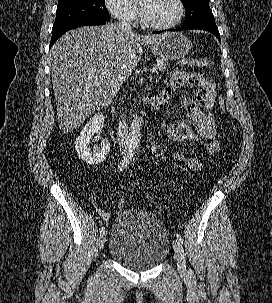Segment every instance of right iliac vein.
Returning <instances> with one entry per match:
<instances>
[{
  "label": "right iliac vein",
  "instance_id": "63e3f726",
  "mask_svg": "<svg viewBox=\"0 0 272 303\" xmlns=\"http://www.w3.org/2000/svg\"><path fill=\"white\" fill-rule=\"evenodd\" d=\"M106 232L101 233L98 241L99 249L101 250L104 247L106 241Z\"/></svg>",
  "mask_w": 272,
  "mask_h": 303
}]
</instances>
